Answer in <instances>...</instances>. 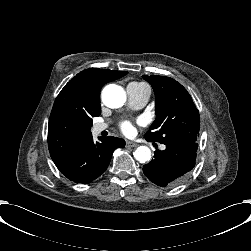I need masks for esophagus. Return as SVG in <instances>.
<instances>
[{"label":"esophagus","instance_id":"esophagus-1","mask_svg":"<svg viewBox=\"0 0 251 251\" xmlns=\"http://www.w3.org/2000/svg\"><path fill=\"white\" fill-rule=\"evenodd\" d=\"M137 146L136 143L132 142V141H126V147H135Z\"/></svg>","mask_w":251,"mask_h":251}]
</instances>
